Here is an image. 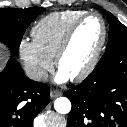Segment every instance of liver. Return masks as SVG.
<instances>
[{"label":"liver","instance_id":"obj_1","mask_svg":"<svg viewBox=\"0 0 127 127\" xmlns=\"http://www.w3.org/2000/svg\"><path fill=\"white\" fill-rule=\"evenodd\" d=\"M6 57H7L6 52L0 47V71L6 63Z\"/></svg>","mask_w":127,"mask_h":127}]
</instances>
